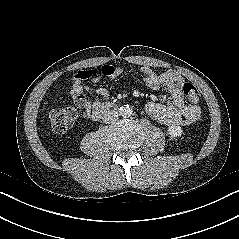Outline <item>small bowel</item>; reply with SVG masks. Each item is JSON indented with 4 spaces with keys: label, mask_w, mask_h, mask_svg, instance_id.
<instances>
[{
    "label": "small bowel",
    "mask_w": 239,
    "mask_h": 239,
    "mask_svg": "<svg viewBox=\"0 0 239 239\" xmlns=\"http://www.w3.org/2000/svg\"><path fill=\"white\" fill-rule=\"evenodd\" d=\"M143 80L147 87L152 90H160L166 86L171 97V104H161L149 102L145 106V111L157 122L166 126H190L197 123L201 118V110L198 106L187 105L181 91L183 78L174 73L166 72L159 74L149 66L141 68ZM123 70L114 66H103L98 69H85L78 71L71 79V97L75 105L90 113L96 108L105 104L109 98V92L104 88H92L84 84L91 80L98 82L103 76L110 79L120 77ZM87 94L94 95V99H89Z\"/></svg>",
    "instance_id": "1"
}]
</instances>
